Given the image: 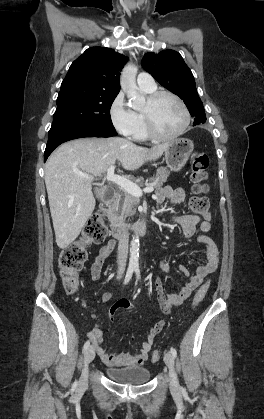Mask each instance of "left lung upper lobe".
Returning a JSON list of instances; mask_svg holds the SVG:
<instances>
[{"mask_svg": "<svg viewBox=\"0 0 264 419\" xmlns=\"http://www.w3.org/2000/svg\"><path fill=\"white\" fill-rule=\"evenodd\" d=\"M141 65L163 87L183 99L193 117L206 118L193 74L178 52L164 50L158 54L146 53Z\"/></svg>", "mask_w": 264, "mask_h": 419, "instance_id": "left-lung-upper-lobe-1", "label": "left lung upper lobe"}]
</instances>
